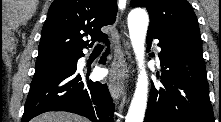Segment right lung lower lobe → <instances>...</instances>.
<instances>
[{
  "mask_svg": "<svg viewBox=\"0 0 221 122\" xmlns=\"http://www.w3.org/2000/svg\"><path fill=\"white\" fill-rule=\"evenodd\" d=\"M103 41L109 45L107 37ZM109 51L108 48L101 64L105 63ZM82 56L79 55L78 59ZM82 78L83 74L77 72L76 65L34 76L22 122L47 111H67L93 122H113L114 104L107 85L88 79L82 81Z\"/></svg>",
  "mask_w": 221,
  "mask_h": 122,
  "instance_id": "1",
  "label": "right lung lower lobe"
}]
</instances>
